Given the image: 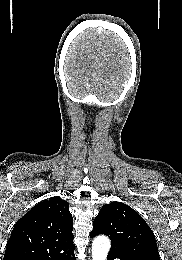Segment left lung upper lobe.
<instances>
[{
	"instance_id": "left-lung-upper-lobe-1",
	"label": "left lung upper lobe",
	"mask_w": 182,
	"mask_h": 260,
	"mask_svg": "<svg viewBox=\"0 0 182 260\" xmlns=\"http://www.w3.org/2000/svg\"><path fill=\"white\" fill-rule=\"evenodd\" d=\"M105 234L110 252L145 260H160L151 228L134 209L121 202L102 206L93 222L90 237Z\"/></svg>"
}]
</instances>
